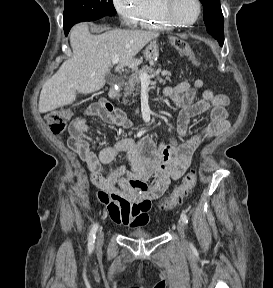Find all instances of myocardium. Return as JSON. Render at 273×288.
<instances>
[{
  "label": "myocardium",
  "instance_id": "1",
  "mask_svg": "<svg viewBox=\"0 0 273 288\" xmlns=\"http://www.w3.org/2000/svg\"><path fill=\"white\" fill-rule=\"evenodd\" d=\"M195 2L197 4V15L192 21H189V22L180 21L174 16L173 11H172L174 0H160V7H161V11H162L164 18L170 24L176 27H190L199 20V18L201 17V13H202L201 1L195 0Z\"/></svg>",
  "mask_w": 273,
  "mask_h": 288
}]
</instances>
